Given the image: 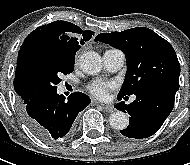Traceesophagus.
<instances>
[{
  "label": "esophagus",
  "instance_id": "obj_1",
  "mask_svg": "<svg viewBox=\"0 0 190 165\" xmlns=\"http://www.w3.org/2000/svg\"><path fill=\"white\" fill-rule=\"evenodd\" d=\"M103 109L106 111V112H109V113H112L115 111L114 107H112L111 105H106V104H100Z\"/></svg>",
  "mask_w": 190,
  "mask_h": 165
}]
</instances>
